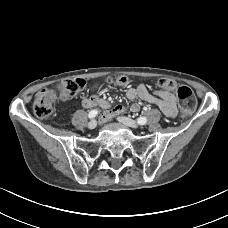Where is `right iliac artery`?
Returning a JSON list of instances; mask_svg holds the SVG:
<instances>
[{
  "label": "right iliac artery",
  "mask_w": 228,
  "mask_h": 228,
  "mask_svg": "<svg viewBox=\"0 0 228 228\" xmlns=\"http://www.w3.org/2000/svg\"><path fill=\"white\" fill-rule=\"evenodd\" d=\"M97 114H98L97 110H92V111L89 112L88 117L91 119V118L96 117Z\"/></svg>",
  "instance_id": "82829eb1"
}]
</instances>
